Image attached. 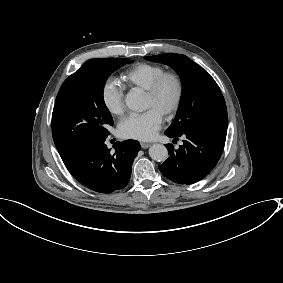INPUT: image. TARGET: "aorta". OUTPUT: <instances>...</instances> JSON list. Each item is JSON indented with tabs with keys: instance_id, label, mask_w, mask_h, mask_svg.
<instances>
[{
	"instance_id": "762f6f07",
	"label": "aorta",
	"mask_w": 283,
	"mask_h": 283,
	"mask_svg": "<svg viewBox=\"0 0 283 283\" xmlns=\"http://www.w3.org/2000/svg\"><path fill=\"white\" fill-rule=\"evenodd\" d=\"M126 106L136 112H142L146 109L144 99L135 92L127 94L125 99ZM150 157L158 162H163L168 158V150L162 144H154L149 148Z\"/></svg>"
}]
</instances>
